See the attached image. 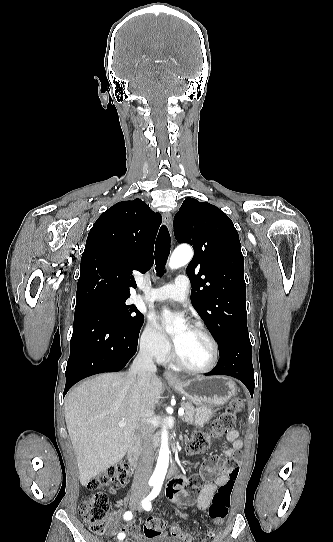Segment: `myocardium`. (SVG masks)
I'll list each match as a JSON object with an SVG mask.
<instances>
[{
	"mask_svg": "<svg viewBox=\"0 0 333 542\" xmlns=\"http://www.w3.org/2000/svg\"><path fill=\"white\" fill-rule=\"evenodd\" d=\"M189 328L193 331H196L203 335L211 344L212 350H213V357L210 362V364L204 368H193L191 366H188L185 364L174 352L172 345H170L168 350V356L170 360L182 371L191 373V374H206L211 372L218 364L219 357H220V347L216 340V338L212 335V333L207 330L204 326H201L199 324H192L189 326Z\"/></svg>",
	"mask_w": 333,
	"mask_h": 542,
	"instance_id": "obj_1",
	"label": "myocardium"
}]
</instances>
